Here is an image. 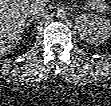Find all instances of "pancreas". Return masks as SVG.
Instances as JSON below:
<instances>
[{"instance_id":"pancreas-1","label":"pancreas","mask_w":111,"mask_h":106,"mask_svg":"<svg viewBox=\"0 0 111 106\" xmlns=\"http://www.w3.org/2000/svg\"><path fill=\"white\" fill-rule=\"evenodd\" d=\"M86 4L88 8H91L92 10H96L101 14H105L109 10V7L106 4L105 0H87Z\"/></svg>"}]
</instances>
